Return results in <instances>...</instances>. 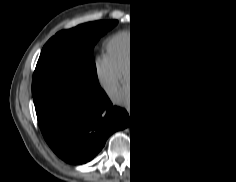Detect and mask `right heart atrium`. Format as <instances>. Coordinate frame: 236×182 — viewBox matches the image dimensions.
Masks as SVG:
<instances>
[{
    "mask_svg": "<svg viewBox=\"0 0 236 182\" xmlns=\"http://www.w3.org/2000/svg\"><path fill=\"white\" fill-rule=\"evenodd\" d=\"M121 72L108 60H102L99 63V78L103 86L113 91L117 89L121 81Z\"/></svg>",
    "mask_w": 236,
    "mask_h": 182,
    "instance_id": "obj_1",
    "label": "right heart atrium"
}]
</instances>
